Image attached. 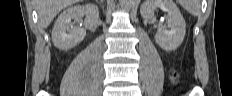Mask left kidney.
Instances as JSON below:
<instances>
[{"label": "left kidney", "mask_w": 232, "mask_h": 96, "mask_svg": "<svg viewBox=\"0 0 232 96\" xmlns=\"http://www.w3.org/2000/svg\"><path fill=\"white\" fill-rule=\"evenodd\" d=\"M157 8L168 13V22L167 26L158 27L155 41L162 49L173 51L180 46L185 37V20L172 0H146L140 8L142 17L154 18V12Z\"/></svg>", "instance_id": "left-kidney-1"}]
</instances>
